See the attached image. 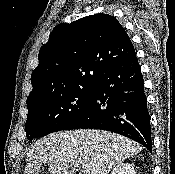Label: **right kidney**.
<instances>
[{
  "instance_id": "right-kidney-1",
  "label": "right kidney",
  "mask_w": 175,
  "mask_h": 174,
  "mask_svg": "<svg viewBox=\"0 0 175 174\" xmlns=\"http://www.w3.org/2000/svg\"><path fill=\"white\" fill-rule=\"evenodd\" d=\"M111 174H136V171L132 164L120 163L112 170Z\"/></svg>"
}]
</instances>
